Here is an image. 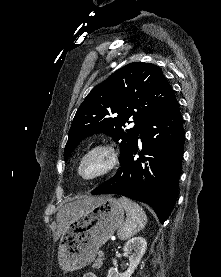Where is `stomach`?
Here are the masks:
<instances>
[{"instance_id":"0dacf381","label":"stomach","mask_w":221,"mask_h":277,"mask_svg":"<svg viewBox=\"0 0 221 277\" xmlns=\"http://www.w3.org/2000/svg\"><path fill=\"white\" fill-rule=\"evenodd\" d=\"M124 209L112 198L101 196L69 221L58 246V262L66 272L91 264L103 244L122 226Z\"/></svg>"}]
</instances>
